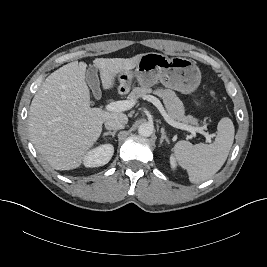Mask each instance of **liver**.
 Listing matches in <instances>:
<instances>
[{"instance_id":"6515ba94","label":"liver","mask_w":267,"mask_h":267,"mask_svg":"<svg viewBox=\"0 0 267 267\" xmlns=\"http://www.w3.org/2000/svg\"><path fill=\"white\" fill-rule=\"evenodd\" d=\"M140 55L132 58L94 60L103 89L115 85V77L135 68ZM86 64L77 61L51 73L35 94L28 116L30 139L37 152L56 170L79 167L93 147L109 118L127 116L90 107V91L85 82Z\"/></svg>"}]
</instances>
